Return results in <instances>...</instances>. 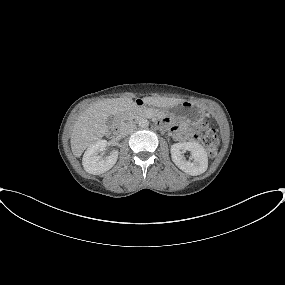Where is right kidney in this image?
Returning a JSON list of instances; mask_svg holds the SVG:
<instances>
[{"label":"right kidney","mask_w":285,"mask_h":285,"mask_svg":"<svg viewBox=\"0 0 285 285\" xmlns=\"http://www.w3.org/2000/svg\"><path fill=\"white\" fill-rule=\"evenodd\" d=\"M106 140H98L91 144L83 155L82 164L86 172L94 175L102 174L111 169L118 159V151L114 150L109 156L103 158L99 154L105 150Z\"/></svg>","instance_id":"right-kidney-1"}]
</instances>
